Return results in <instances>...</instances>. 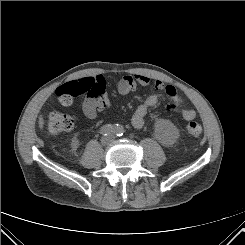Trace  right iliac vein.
<instances>
[{
  "mask_svg": "<svg viewBox=\"0 0 245 245\" xmlns=\"http://www.w3.org/2000/svg\"><path fill=\"white\" fill-rule=\"evenodd\" d=\"M102 141H103L104 144H108L109 139L108 138H104Z\"/></svg>",
  "mask_w": 245,
  "mask_h": 245,
  "instance_id": "63e3f726",
  "label": "right iliac vein"
}]
</instances>
